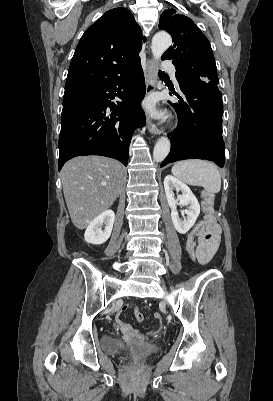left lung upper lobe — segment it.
Returning <instances> with one entry per match:
<instances>
[{
    "label": "left lung upper lobe",
    "instance_id": "1",
    "mask_svg": "<svg viewBox=\"0 0 273 401\" xmlns=\"http://www.w3.org/2000/svg\"><path fill=\"white\" fill-rule=\"evenodd\" d=\"M159 29L166 30L172 36L173 45L162 59L173 60L177 79H202L218 84L211 45L190 18L168 9L160 17Z\"/></svg>",
    "mask_w": 273,
    "mask_h": 401
}]
</instances>
